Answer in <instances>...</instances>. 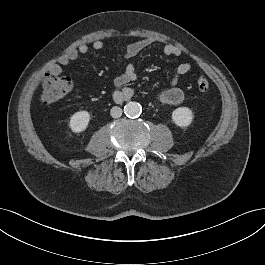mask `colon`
<instances>
[{
    "instance_id": "5ec220e1",
    "label": "colon",
    "mask_w": 265,
    "mask_h": 265,
    "mask_svg": "<svg viewBox=\"0 0 265 265\" xmlns=\"http://www.w3.org/2000/svg\"><path fill=\"white\" fill-rule=\"evenodd\" d=\"M197 88L201 92H207L210 83L206 77H199L196 81ZM72 82L69 77L49 74L42 84L41 100L49 104L67 95L71 89Z\"/></svg>"
}]
</instances>
